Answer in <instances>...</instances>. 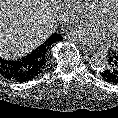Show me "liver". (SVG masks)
I'll return each mask as SVG.
<instances>
[{"mask_svg": "<svg viewBox=\"0 0 118 118\" xmlns=\"http://www.w3.org/2000/svg\"><path fill=\"white\" fill-rule=\"evenodd\" d=\"M57 0H0V57L17 59L57 29Z\"/></svg>", "mask_w": 118, "mask_h": 118, "instance_id": "liver-1", "label": "liver"}]
</instances>
